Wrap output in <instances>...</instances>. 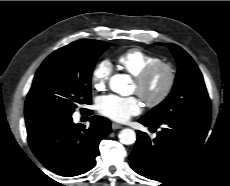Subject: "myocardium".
Masks as SVG:
<instances>
[{
  "instance_id": "f54148a6",
  "label": "myocardium",
  "mask_w": 230,
  "mask_h": 186,
  "mask_svg": "<svg viewBox=\"0 0 230 186\" xmlns=\"http://www.w3.org/2000/svg\"><path fill=\"white\" fill-rule=\"evenodd\" d=\"M166 74V82L162 91L156 97H148L145 94V87L150 80L159 72ZM177 79L175 67L164 61H159L148 66L140 74L135 76L136 93L141 97L148 107H156L162 104L171 94Z\"/></svg>"
}]
</instances>
